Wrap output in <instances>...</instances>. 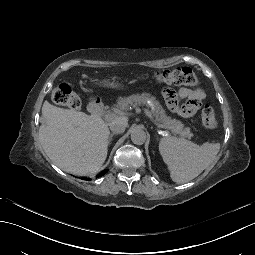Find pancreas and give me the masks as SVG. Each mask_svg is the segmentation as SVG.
Here are the masks:
<instances>
[{"label":"pancreas","mask_w":255,"mask_h":255,"mask_svg":"<svg viewBox=\"0 0 255 255\" xmlns=\"http://www.w3.org/2000/svg\"><path fill=\"white\" fill-rule=\"evenodd\" d=\"M150 95L143 93V94H136L128 96L127 98H120L118 101L119 110H128L131 107L137 109L138 106H144L147 101L149 100ZM153 101V108L151 110V114L159 121L162 125H167V129L169 127H172V132L180 134V132H183V134H188L189 129L186 128V132L182 131L183 124L180 122H177L176 120H170L169 117H167L164 114V111L161 107V105L152 98ZM175 129H178V132H175ZM190 137L191 134H188Z\"/></svg>","instance_id":"cf45deb5"}]
</instances>
